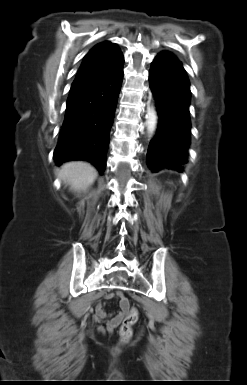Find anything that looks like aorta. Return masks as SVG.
I'll return each instance as SVG.
<instances>
[{
	"label": "aorta",
	"instance_id": "aorta-1",
	"mask_svg": "<svg viewBox=\"0 0 247 385\" xmlns=\"http://www.w3.org/2000/svg\"><path fill=\"white\" fill-rule=\"evenodd\" d=\"M146 117H147V130L150 134H153L157 123V115L155 110L150 109Z\"/></svg>",
	"mask_w": 247,
	"mask_h": 385
}]
</instances>
